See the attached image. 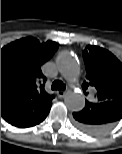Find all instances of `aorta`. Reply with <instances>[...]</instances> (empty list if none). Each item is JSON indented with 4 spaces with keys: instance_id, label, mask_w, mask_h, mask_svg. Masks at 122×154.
I'll list each match as a JSON object with an SVG mask.
<instances>
[{
    "instance_id": "762f6f07",
    "label": "aorta",
    "mask_w": 122,
    "mask_h": 154,
    "mask_svg": "<svg viewBox=\"0 0 122 154\" xmlns=\"http://www.w3.org/2000/svg\"><path fill=\"white\" fill-rule=\"evenodd\" d=\"M60 74L68 81H74L80 74V63L71 52H62L56 61ZM65 104L71 111H80L85 106V97L81 92L69 91L65 96Z\"/></svg>"
}]
</instances>
